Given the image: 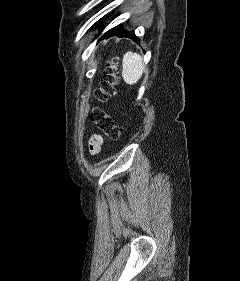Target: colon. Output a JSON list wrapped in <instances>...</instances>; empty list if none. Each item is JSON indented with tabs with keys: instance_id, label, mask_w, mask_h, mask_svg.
Segmentation results:
<instances>
[{
	"instance_id": "obj_1",
	"label": "colon",
	"mask_w": 240,
	"mask_h": 281,
	"mask_svg": "<svg viewBox=\"0 0 240 281\" xmlns=\"http://www.w3.org/2000/svg\"><path fill=\"white\" fill-rule=\"evenodd\" d=\"M118 66L115 59H111L104 70L103 79L95 92L100 102H106L115 94V86L118 83ZM89 119L105 133L110 139L117 140L121 136V128L112 117L99 107H94L89 113Z\"/></svg>"
}]
</instances>
